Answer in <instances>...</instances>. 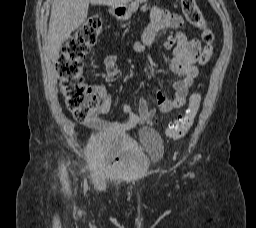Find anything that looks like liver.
I'll return each instance as SVG.
<instances>
[{
  "mask_svg": "<svg viewBox=\"0 0 256 228\" xmlns=\"http://www.w3.org/2000/svg\"><path fill=\"white\" fill-rule=\"evenodd\" d=\"M130 0H54L51 9L47 45L53 61L59 58L63 42L82 25L88 15L89 4L122 7Z\"/></svg>",
  "mask_w": 256,
  "mask_h": 228,
  "instance_id": "1",
  "label": "liver"
}]
</instances>
